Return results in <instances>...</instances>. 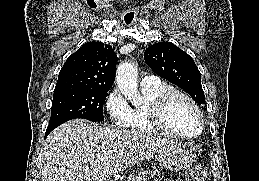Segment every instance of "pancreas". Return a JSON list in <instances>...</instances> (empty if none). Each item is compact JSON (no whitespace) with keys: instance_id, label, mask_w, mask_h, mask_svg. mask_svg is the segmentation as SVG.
Wrapping results in <instances>:
<instances>
[{"instance_id":"1","label":"pancreas","mask_w":259,"mask_h":181,"mask_svg":"<svg viewBox=\"0 0 259 181\" xmlns=\"http://www.w3.org/2000/svg\"><path fill=\"white\" fill-rule=\"evenodd\" d=\"M155 175V171H140L138 174L130 176L127 181H147L149 177H154Z\"/></svg>"}]
</instances>
